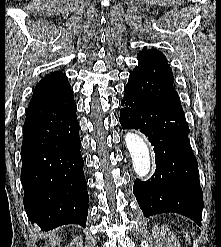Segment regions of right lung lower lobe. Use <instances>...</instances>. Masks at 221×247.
I'll use <instances>...</instances> for the list:
<instances>
[{"label": "right lung lower lobe", "mask_w": 221, "mask_h": 247, "mask_svg": "<svg viewBox=\"0 0 221 247\" xmlns=\"http://www.w3.org/2000/svg\"><path fill=\"white\" fill-rule=\"evenodd\" d=\"M73 90L29 105L23 126L24 208L43 231L86 225L87 182Z\"/></svg>", "instance_id": "1"}]
</instances>
